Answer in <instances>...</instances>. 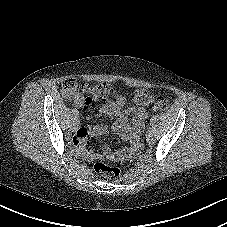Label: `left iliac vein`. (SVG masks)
Segmentation results:
<instances>
[{
    "label": "left iliac vein",
    "mask_w": 227,
    "mask_h": 227,
    "mask_svg": "<svg viewBox=\"0 0 227 227\" xmlns=\"http://www.w3.org/2000/svg\"><path fill=\"white\" fill-rule=\"evenodd\" d=\"M146 141H147L148 144H153L154 141H155L153 134L148 133L147 136H146Z\"/></svg>",
    "instance_id": "1"
}]
</instances>
